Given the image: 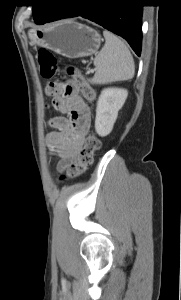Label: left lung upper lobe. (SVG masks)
<instances>
[{
    "label": "left lung upper lobe",
    "mask_w": 181,
    "mask_h": 300,
    "mask_svg": "<svg viewBox=\"0 0 181 300\" xmlns=\"http://www.w3.org/2000/svg\"><path fill=\"white\" fill-rule=\"evenodd\" d=\"M32 12L36 24H44L45 21L54 13L56 4L45 5L44 3H57V0H33Z\"/></svg>",
    "instance_id": "obj_1"
}]
</instances>
